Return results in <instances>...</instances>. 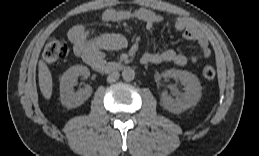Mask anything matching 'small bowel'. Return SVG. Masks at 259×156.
<instances>
[{"instance_id": "obj_1", "label": "small bowel", "mask_w": 259, "mask_h": 156, "mask_svg": "<svg viewBox=\"0 0 259 156\" xmlns=\"http://www.w3.org/2000/svg\"><path fill=\"white\" fill-rule=\"evenodd\" d=\"M105 22L116 23L125 20L141 21L145 24L149 34H152L154 27L164 22V18L152 10L140 9H115L107 8L102 13ZM174 28L183 34V37L198 46V54L186 56L175 50L146 52L142 56L145 64L174 63L176 65H186L196 63L201 59L211 55L209 43L204 33L190 20L185 18H175ZM68 38L73 44L74 52L91 67L97 63L105 62L104 52L107 50H118L127 46V40L120 34H101L92 36L82 25H75L68 31Z\"/></svg>"}]
</instances>
